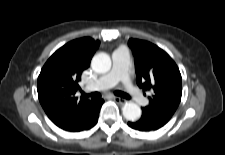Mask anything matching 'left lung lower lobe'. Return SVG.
Instances as JSON below:
<instances>
[{"instance_id": "obj_1", "label": "left lung lower lobe", "mask_w": 225, "mask_h": 155, "mask_svg": "<svg viewBox=\"0 0 225 155\" xmlns=\"http://www.w3.org/2000/svg\"><path fill=\"white\" fill-rule=\"evenodd\" d=\"M172 115L164 112H149L142 110V117L135 122H128V126L139 131H154L164 126Z\"/></svg>"}]
</instances>
